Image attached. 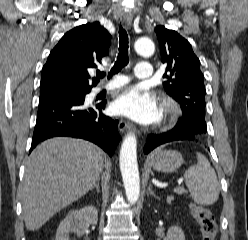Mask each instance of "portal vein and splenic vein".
<instances>
[{
	"mask_svg": "<svg viewBox=\"0 0 248 240\" xmlns=\"http://www.w3.org/2000/svg\"><path fill=\"white\" fill-rule=\"evenodd\" d=\"M160 186H163V185L160 184ZM174 191L177 192V193H179V194H181V193H183L184 190L181 187H176L174 189Z\"/></svg>",
	"mask_w": 248,
	"mask_h": 240,
	"instance_id": "obj_1",
	"label": "portal vein and splenic vein"
}]
</instances>
